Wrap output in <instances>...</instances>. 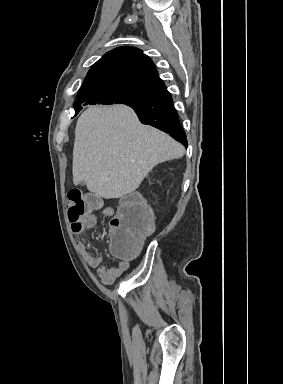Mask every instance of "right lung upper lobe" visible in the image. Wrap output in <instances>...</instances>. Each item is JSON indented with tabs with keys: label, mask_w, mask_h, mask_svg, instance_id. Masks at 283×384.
I'll list each match as a JSON object with an SVG mask.
<instances>
[{
	"label": "right lung upper lobe",
	"mask_w": 283,
	"mask_h": 384,
	"mask_svg": "<svg viewBox=\"0 0 283 384\" xmlns=\"http://www.w3.org/2000/svg\"><path fill=\"white\" fill-rule=\"evenodd\" d=\"M100 84H122L154 92L164 86L151 59L134 47L106 53L91 67L82 88Z\"/></svg>",
	"instance_id": "obj_1"
}]
</instances>
